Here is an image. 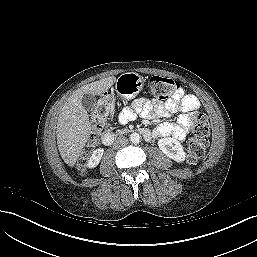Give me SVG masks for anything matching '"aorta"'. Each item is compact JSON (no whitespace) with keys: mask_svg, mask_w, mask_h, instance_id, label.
Listing matches in <instances>:
<instances>
[{"mask_svg":"<svg viewBox=\"0 0 257 257\" xmlns=\"http://www.w3.org/2000/svg\"><path fill=\"white\" fill-rule=\"evenodd\" d=\"M129 139L131 143L138 144L140 142V135L138 133H132Z\"/></svg>","mask_w":257,"mask_h":257,"instance_id":"obj_1","label":"aorta"}]
</instances>
